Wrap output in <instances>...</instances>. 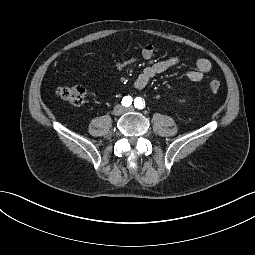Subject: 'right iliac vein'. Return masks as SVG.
Wrapping results in <instances>:
<instances>
[{
	"mask_svg": "<svg viewBox=\"0 0 255 255\" xmlns=\"http://www.w3.org/2000/svg\"><path fill=\"white\" fill-rule=\"evenodd\" d=\"M124 111H125V109L122 105H116L113 109V114L115 116H119V115L123 114Z\"/></svg>",
	"mask_w": 255,
	"mask_h": 255,
	"instance_id": "1",
	"label": "right iliac vein"
}]
</instances>
